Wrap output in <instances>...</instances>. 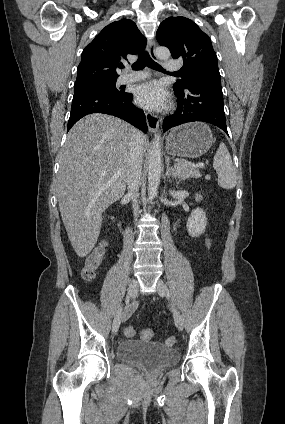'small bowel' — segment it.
Here are the masks:
<instances>
[{"label": "small bowel", "instance_id": "c3829d8e", "mask_svg": "<svg viewBox=\"0 0 285 424\" xmlns=\"http://www.w3.org/2000/svg\"><path fill=\"white\" fill-rule=\"evenodd\" d=\"M136 306V304H133L132 306H131V308H128L127 310H128V316H130L131 315V313H132V309L134 308Z\"/></svg>", "mask_w": 285, "mask_h": 424}]
</instances>
